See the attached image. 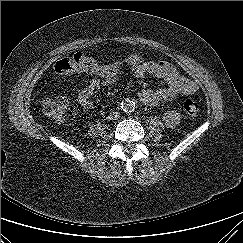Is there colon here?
Masks as SVG:
<instances>
[{
	"mask_svg": "<svg viewBox=\"0 0 243 243\" xmlns=\"http://www.w3.org/2000/svg\"><path fill=\"white\" fill-rule=\"evenodd\" d=\"M121 67V61L103 65L89 56L76 53L58 60L54 69L61 75L83 72L94 74L101 78H113L118 75ZM42 108L50 119L61 122L64 120L68 109V100L61 94H47L42 98ZM183 108L189 117H195L199 113V104L193 99H187Z\"/></svg>",
	"mask_w": 243,
	"mask_h": 243,
	"instance_id": "obj_1",
	"label": "colon"
}]
</instances>
